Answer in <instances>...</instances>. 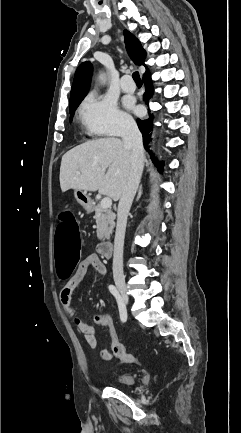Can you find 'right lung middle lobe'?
<instances>
[{
    "instance_id": "dd1d6c3e",
    "label": "right lung middle lobe",
    "mask_w": 241,
    "mask_h": 433,
    "mask_svg": "<svg viewBox=\"0 0 241 433\" xmlns=\"http://www.w3.org/2000/svg\"><path fill=\"white\" fill-rule=\"evenodd\" d=\"M81 102V101H80ZM80 102H78L74 107L70 108V113H71V118L74 114V111L76 110V108L78 107V105L80 104Z\"/></svg>"
}]
</instances>
